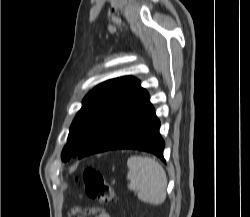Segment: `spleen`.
I'll return each instance as SVG.
<instances>
[{
	"label": "spleen",
	"mask_w": 250,
	"mask_h": 217,
	"mask_svg": "<svg viewBox=\"0 0 250 217\" xmlns=\"http://www.w3.org/2000/svg\"><path fill=\"white\" fill-rule=\"evenodd\" d=\"M128 188L138 190L139 200L151 205L162 204L166 199L167 176L163 167L154 159L132 156L127 160Z\"/></svg>",
	"instance_id": "spleen-1"
}]
</instances>
